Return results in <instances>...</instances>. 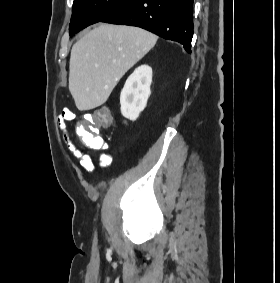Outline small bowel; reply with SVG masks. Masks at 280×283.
I'll use <instances>...</instances> for the list:
<instances>
[{
	"mask_svg": "<svg viewBox=\"0 0 280 283\" xmlns=\"http://www.w3.org/2000/svg\"><path fill=\"white\" fill-rule=\"evenodd\" d=\"M74 118V114L72 112H63L58 117V125L61 130H63V137L65 144L70 151V153L76 157L79 160L80 167L87 173L93 172L95 168L94 160L91 156L84 154L81 150L78 149V147L74 144L71 135L68 131V122ZM90 148V147H89ZM91 150H96L93 148H90ZM102 149H105V146H103ZM111 155L107 152H103L99 156V166L100 168H106L111 163Z\"/></svg>",
	"mask_w": 280,
	"mask_h": 283,
	"instance_id": "1",
	"label": "small bowel"
}]
</instances>
